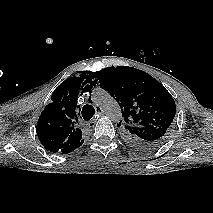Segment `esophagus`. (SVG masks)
Listing matches in <instances>:
<instances>
[{"label": "esophagus", "instance_id": "34e87169", "mask_svg": "<svg viewBox=\"0 0 213 213\" xmlns=\"http://www.w3.org/2000/svg\"><path fill=\"white\" fill-rule=\"evenodd\" d=\"M103 110L101 107H97V113L96 116L89 122V125L93 126V124L96 122L98 117H101L103 115Z\"/></svg>", "mask_w": 213, "mask_h": 213}]
</instances>
